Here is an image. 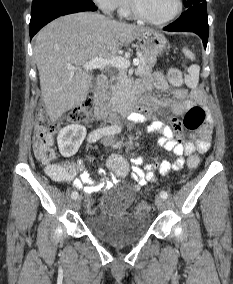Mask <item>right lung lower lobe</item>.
Returning <instances> with one entry per match:
<instances>
[{
	"instance_id": "right-lung-lower-lobe-1",
	"label": "right lung lower lobe",
	"mask_w": 233,
	"mask_h": 284,
	"mask_svg": "<svg viewBox=\"0 0 233 284\" xmlns=\"http://www.w3.org/2000/svg\"><path fill=\"white\" fill-rule=\"evenodd\" d=\"M96 9L97 7L95 5L86 4L56 5L31 14V20L29 25L30 38H32L44 25L59 16L83 11H95Z\"/></svg>"
}]
</instances>
